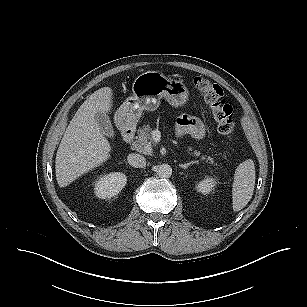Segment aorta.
Instances as JSON below:
<instances>
[{
    "mask_svg": "<svg viewBox=\"0 0 307 307\" xmlns=\"http://www.w3.org/2000/svg\"><path fill=\"white\" fill-rule=\"evenodd\" d=\"M156 173L159 178H169L172 175V168L168 164H161L157 166Z\"/></svg>",
    "mask_w": 307,
    "mask_h": 307,
    "instance_id": "obj_1",
    "label": "aorta"
}]
</instances>
